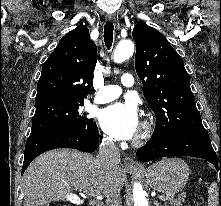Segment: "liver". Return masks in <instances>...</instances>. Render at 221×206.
Wrapping results in <instances>:
<instances>
[{"label": "liver", "mask_w": 221, "mask_h": 206, "mask_svg": "<svg viewBox=\"0 0 221 206\" xmlns=\"http://www.w3.org/2000/svg\"><path fill=\"white\" fill-rule=\"evenodd\" d=\"M125 179L119 165L107 167L91 154L70 149L48 151L37 157L23 175V206L68 200L74 189L84 193L93 189L105 196L120 193Z\"/></svg>", "instance_id": "liver-1"}]
</instances>
